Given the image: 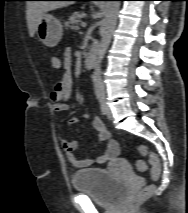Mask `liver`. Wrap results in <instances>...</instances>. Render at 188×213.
I'll return each mask as SVG.
<instances>
[{"label": "liver", "instance_id": "liver-1", "mask_svg": "<svg viewBox=\"0 0 188 213\" xmlns=\"http://www.w3.org/2000/svg\"><path fill=\"white\" fill-rule=\"evenodd\" d=\"M68 1H29L27 3L26 17L30 37H33L40 19L46 12L67 7Z\"/></svg>", "mask_w": 188, "mask_h": 213}]
</instances>
